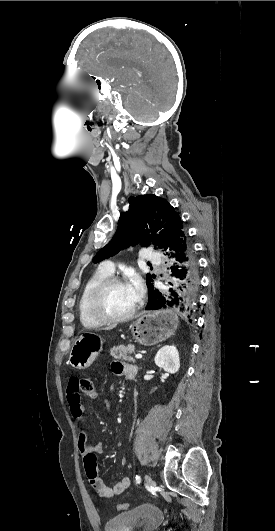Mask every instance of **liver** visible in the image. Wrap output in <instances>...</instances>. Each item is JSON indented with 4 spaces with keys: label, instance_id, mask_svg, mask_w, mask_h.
I'll use <instances>...</instances> for the list:
<instances>
[{
    "label": "liver",
    "instance_id": "obj_1",
    "mask_svg": "<svg viewBox=\"0 0 275 531\" xmlns=\"http://www.w3.org/2000/svg\"><path fill=\"white\" fill-rule=\"evenodd\" d=\"M114 327H116V325H111V327H106V329H104V331H110V329H114Z\"/></svg>",
    "mask_w": 275,
    "mask_h": 531
}]
</instances>
